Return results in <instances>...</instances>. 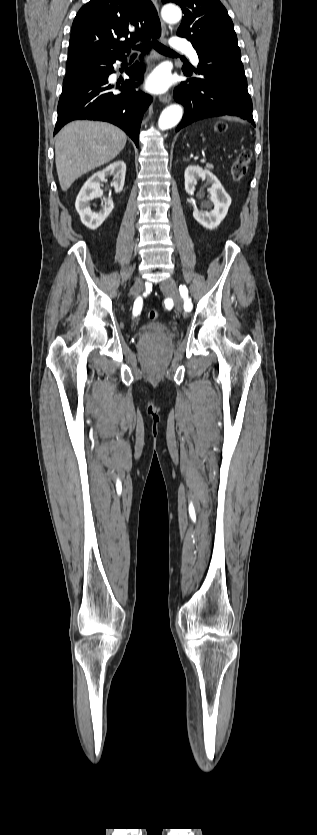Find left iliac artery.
I'll list each match as a JSON object with an SVG mask.
<instances>
[{"instance_id":"obj_1","label":"left iliac artery","mask_w":317,"mask_h":835,"mask_svg":"<svg viewBox=\"0 0 317 835\" xmlns=\"http://www.w3.org/2000/svg\"><path fill=\"white\" fill-rule=\"evenodd\" d=\"M179 291H180V294H181L182 298L184 299V309H185V311H188V312L191 311L193 306H192L191 299L188 298L187 287L185 285H180L179 286Z\"/></svg>"}]
</instances>
